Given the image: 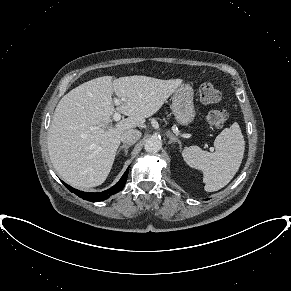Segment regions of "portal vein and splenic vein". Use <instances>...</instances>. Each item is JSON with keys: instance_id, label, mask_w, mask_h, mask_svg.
I'll use <instances>...</instances> for the list:
<instances>
[{"instance_id": "1", "label": "portal vein and splenic vein", "mask_w": 291, "mask_h": 291, "mask_svg": "<svg viewBox=\"0 0 291 291\" xmlns=\"http://www.w3.org/2000/svg\"><path fill=\"white\" fill-rule=\"evenodd\" d=\"M124 101L123 98L119 99V98H114V104L119 105ZM113 119L115 121H119L121 119V114L119 112H115L113 115ZM98 127H91V130H97Z\"/></svg>"}]
</instances>
